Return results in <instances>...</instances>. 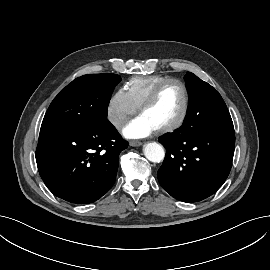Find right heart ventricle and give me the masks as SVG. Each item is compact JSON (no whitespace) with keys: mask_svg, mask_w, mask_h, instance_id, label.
Listing matches in <instances>:
<instances>
[{"mask_svg":"<svg viewBox=\"0 0 270 270\" xmlns=\"http://www.w3.org/2000/svg\"><path fill=\"white\" fill-rule=\"evenodd\" d=\"M169 78L164 75L135 76L125 83L124 90L132 103L139 108L154 87Z\"/></svg>","mask_w":270,"mask_h":270,"instance_id":"obj_1","label":"right heart ventricle"}]
</instances>
